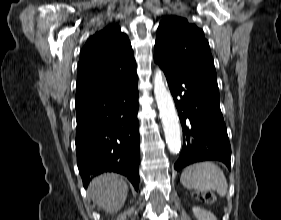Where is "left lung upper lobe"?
<instances>
[{"mask_svg": "<svg viewBox=\"0 0 281 220\" xmlns=\"http://www.w3.org/2000/svg\"><path fill=\"white\" fill-rule=\"evenodd\" d=\"M154 61L192 71L218 87L208 41L201 29L189 24L184 18L168 16L160 22Z\"/></svg>", "mask_w": 281, "mask_h": 220, "instance_id": "1", "label": "left lung upper lobe"}]
</instances>
